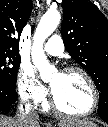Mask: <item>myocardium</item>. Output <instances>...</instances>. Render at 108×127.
Wrapping results in <instances>:
<instances>
[{
    "instance_id": "f54148a6",
    "label": "myocardium",
    "mask_w": 108,
    "mask_h": 127,
    "mask_svg": "<svg viewBox=\"0 0 108 127\" xmlns=\"http://www.w3.org/2000/svg\"><path fill=\"white\" fill-rule=\"evenodd\" d=\"M61 73L62 74L78 73L83 76V78L85 79V81L89 87L90 93H91V104H90L89 108L84 112H81V113L67 112L59 106V104L57 103V100L55 98V95L51 89V91H50V106H51V108L58 114L68 116V117L81 118V117H86V116H89L90 114H92L95 111V109L97 108L99 96H98V90L96 88V85H95L92 77L90 76V74L83 68L76 67V66L66 67L61 71Z\"/></svg>"
}]
</instances>
